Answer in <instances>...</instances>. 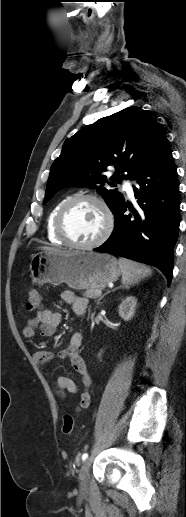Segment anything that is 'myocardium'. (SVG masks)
I'll return each mask as SVG.
<instances>
[{"instance_id":"1","label":"myocardium","mask_w":186,"mask_h":517,"mask_svg":"<svg viewBox=\"0 0 186 517\" xmlns=\"http://www.w3.org/2000/svg\"><path fill=\"white\" fill-rule=\"evenodd\" d=\"M82 201H92V202L96 203L102 210V212L104 214V218H105V225H104L102 233L99 235L98 238H96L94 241L89 242V243H78V242L72 240L68 236L66 229H65L66 219H67V216H68L70 210L77 203L82 202ZM113 228H114V220H113V215H112L110 208L108 207V205L106 204V202L104 200H102L101 198H99L93 194H79V195H75V196L71 197L70 199H68L63 204V206L60 208V210L56 216V220H55V230H56L58 237L61 238L63 240V242L65 244H67L68 246L77 248V249H83V250L94 249V248L102 245L112 234Z\"/></svg>"}]
</instances>
